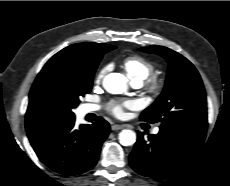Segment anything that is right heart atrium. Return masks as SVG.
<instances>
[{
    "label": "right heart atrium",
    "mask_w": 230,
    "mask_h": 186,
    "mask_svg": "<svg viewBox=\"0 0 230 186\" xmlns=\"http://www.w3.org/2000/svg\"><path fill=\"white\" fill-rule=\"evenodd\" d=\"M110 66L109 65H105L103 66L97 73L96 75V80L97 81H101L103 79V77L105 76V74L109 71Z\"/></svg>",
    "instance_id": "right-heart-atrium-1"
}]
</instances>
